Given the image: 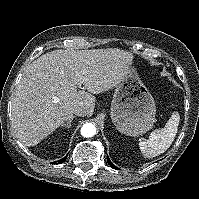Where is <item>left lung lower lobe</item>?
<instances>
[{
    "instance_id": "1",
    "label": "left lung lower lobe",
    "mask_w": 199,
    "mask_h": 199,
    "mask_svg": "<svg viewBox=\"0 0 199 199\" xmlns=\"http://www.w3.org/2000/svg\"><path fill=\"white\" fill-rule=\"evenodd\" d=\"M107 161L109 163V165L114 168V169H117V167L110 161L109 157L107 156Z\"/></svg>"
}]
</instances>
